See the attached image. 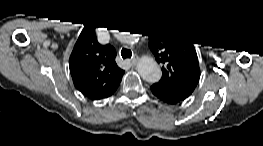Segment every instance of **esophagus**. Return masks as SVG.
<instances>
[{"label": "esophagus", "mask_w": 263, "mask_h": 146, "mask_svg": "<svg viewBox=\"0 0 263 146\" xmlns=\"http://www.w3.org/2000/svg\"><path fill=\"white\" fill-rule=\"evenodd\" d=\"M138 61H139L138 56H135V57H133V58L130 60L132 66H135V65L138 63Z\"/></svg>", "instance_id": "34e87169"}]
</instances>
